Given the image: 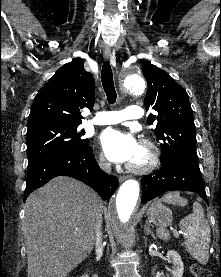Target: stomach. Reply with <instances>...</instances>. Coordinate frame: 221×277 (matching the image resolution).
Returning <instances> with one entry per match:
<instances>
[{
    "label": "stomach",
    "instance_id": "0dacf381",
    "mask_svg": "<svg viewBox=\"0 0 221 277\" xmlns=\"http://www.w3.org/2000/svg\"><path fill=\"white\" fill-rule=\"evenodd\" d=\"M147 215L152 223L162 228L171 225L173 220L172 211L163 205L159 200H155L151 204L147 210Z\"/></svg>",
    "mask_w": 221,
    "mask_h": 277
}]
</instances>
